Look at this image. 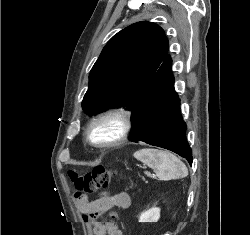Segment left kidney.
Segmentation results:
<instances>
[{"label":"left kidney","instance_id":"5707ae66","mask_svg":"<svg viewBox=\"0 0 250 235\" xmlns=\"http://www.w3.org/2000/svg\"><path fill=\"white\" fill-rule=\"evenodd\" d=\"M160 218V208H151L141 213L139 222H157Z\"/></svg>","mask_w":250,"mask_h":235}]
</instances>
